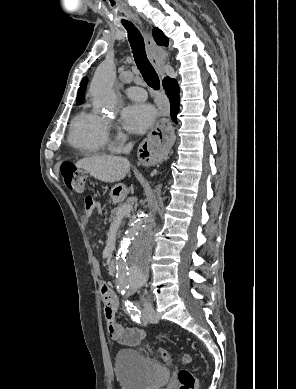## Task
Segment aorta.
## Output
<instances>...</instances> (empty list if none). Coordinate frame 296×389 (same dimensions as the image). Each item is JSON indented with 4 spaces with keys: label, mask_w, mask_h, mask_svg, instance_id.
<instances>
[{
    "label": "aorta",
    "mask_w": 296,
    "mask_h": 389,
    "mask_svg": "<svg viewBox=\"0 0 296 389\" xmlns=\"http://www.w3.org/2000/svg\"><path fill=\"white\" fill-rule=\"evenodd\" d=\"M115 79V65L108 60L96 69L90 86L95 104L109 111H113L118 103V95L114 89ZM153 240L152 220L147 213L131 225L118 247V286L137 290L147 283Z\"/></svg>",
    "instance_id": "762f6f07"
}]
</instances>
